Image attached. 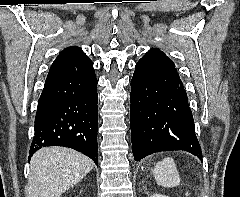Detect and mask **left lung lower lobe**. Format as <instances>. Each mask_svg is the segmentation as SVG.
Segmentation results:
<instances>
[{
  "mask_svg": "<svg viewBox=\"0 0 240 197\" xmlns=\"http://www.w3.org/2000/svg\"><path fill=\"white\" fill-rule=\"evenodd\" d=\"M131 133L134 159L184 150L202 160L187 93L177 71L135 67L131 80Z\"/></svg>",
  "mask_w": 240,
  "mask_h": 197,
  "instance_id": "1",
  "label": "left lung lower lobe"
}]
</instances>
